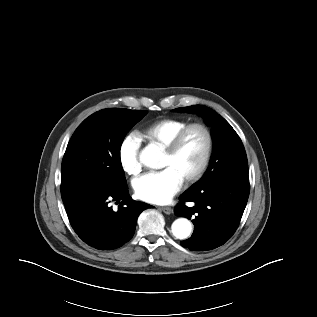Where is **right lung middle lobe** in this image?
<instances>
[{"instance_id": "obj_1", "label": "right lung middle lobe", "mask_w": 317, "mask_h": 317, "mask_svg": "<svg viewBox=\"0 0 317 317\" xmlns=\"http://www.w3.org/2000/svg\"><path fill=\"white\" fill-rule=\"evenodd\" d=\"M147 111L104 109L86 118L72 135L61 166V195L67 202L97 184H126L120 148L126 133Z\"/></svg>"}]
</instances>
